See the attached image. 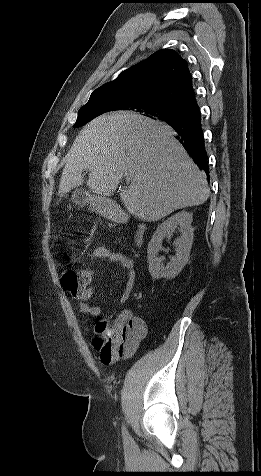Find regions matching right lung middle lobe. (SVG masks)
Here are the masks:
<instances>
[{
    "mask_svg": "<svg viewBox=\"0 0 261 476\" xmlns=\"http://www.w3.org/2000/svg\"><path fill=\"white\" fill-rule=\"evenodd\" d=\"M116 110H120L118 100L113 97H105L88 102L80 108L74 127H80L100 114ZM134 111L157 118L166 123L179 119L185 112V110L179 108L157 103L144 105Z\"/></svg>",
    "mask_w": 261,
    "mask_h": 476,
    "instance_id": "1",
    "label": "right lung middle lobe"
}]
</instances>
